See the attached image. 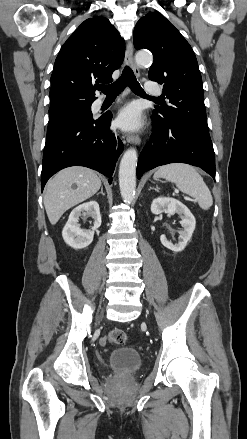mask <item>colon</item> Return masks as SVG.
Here are the masks:
<instances>
[{
  "instance_id": "obj_1",
  "label": "colon",
  "mask_w": 247,
  "mask_h": 439,
  "mask_svg": "<svg viewBox=\"0 0 247 439\" xmlns=\"http://www.w3.org/2000/svg\"><path fill=\"white\" fill-rule=\"evenodd\" d=\"M108 341L113 345H121L127 341V335L123 330L115 329L109 333Z\"/></svg>"
}]
</instances>
